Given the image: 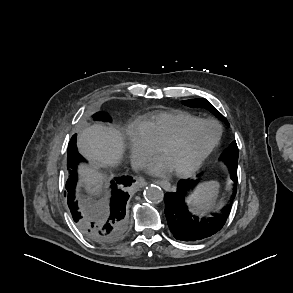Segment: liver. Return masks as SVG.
Wrapping results in <instances>:
<instances>
[{"mask_svg": "<svg viewBox=\"0 0 293 293\" xmlns=\"http://www.w3.org/2000/svg\"><path fill=\"white\" fill-rule=\"evenodd\" d=\"M79 152L95 166H110L119 162L123 153L121 133L112 127L94 124L83 129L77 140ZM80 181L86 190L98 193L102 188L104 176L95 168L79 166Z\"/></svg>", "mask_w": 293, "mask_h": 293, "instance_id": "liver-1", "label": "liver"}]
</instances>
